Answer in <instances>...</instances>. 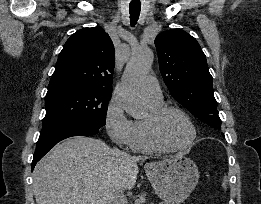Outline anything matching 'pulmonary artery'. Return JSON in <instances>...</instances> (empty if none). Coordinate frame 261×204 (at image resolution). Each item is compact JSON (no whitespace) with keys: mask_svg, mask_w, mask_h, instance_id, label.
Returning <instances> with one entry per match:
<instances>
[{"mask_svg":"<svg viewBox=\"0 0 261 204\" xmlns=\"http://www.w3.org/2000/svg\"><path fill=\"white\" fill-rule=\"evenodd\" d=\"M140 91L147 101H161L162 92L157 80L153 76H147L139 84Z\"/></svg>","mask_w":261,"mask_h":204,"instance_id":"e3ab8cb5","label":"pulmonary artery"}]
</instances>
